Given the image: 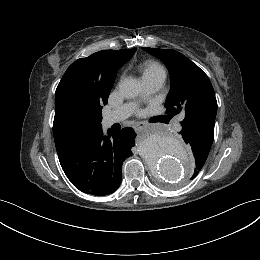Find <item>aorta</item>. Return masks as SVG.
Here are the masks:
<instances>
[{"instance_id":"1","label":"aorta","mask_w":260,"mask_h":260,"mask_svg":"<svg viewBox=\"0 0 260 260\" xmlns=\"http://www.w3.org/2000/svg\"><path fill=\"white\" fill-rule=\"evenodd\" d=\"M121 95L133 98L141 91L136 79H125L119 85ZM139 151L149 163L153 176L164 183H176L187 178L193 171L191 158L170 131L164 128L147 130L140 142Z\"/></svg>"}]
</instances>
